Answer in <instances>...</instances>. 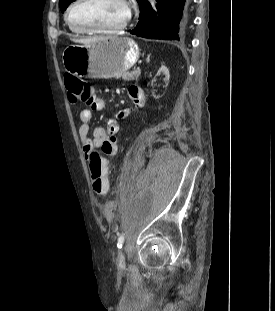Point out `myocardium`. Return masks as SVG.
Masks as SVG:
<instances>
[{"label":"myocardium","instance_id":"obj_1","mask_svg":"<svg viewBox=\"0 0 275 311\" xmlns=\"http://www.w3.org/2000/svg\"><path fill=\"white\" fill-rule=\"evenodd\" d=\"M83 0H75L73 1L69 7L66 10L65 13V21L68 25V27L72 30L75 31H79L82 33H89V34H101V35H111V34H118L120 32H122L123 30H125L127 28V26L129 25L131 18H132V12H131V7L130 4L127 0H120L124 6L126 7L127 10V16L125 18V21L118 27L116 28H111V29H93V28H88V27H78L72 24L71 20H70V14L71 11L73 10V8L80 3Z\"/></svg>","mask_w":275,"mask_h":311}]
</instances>
